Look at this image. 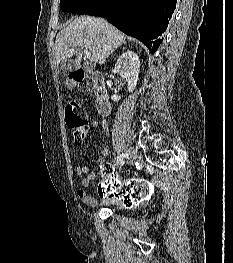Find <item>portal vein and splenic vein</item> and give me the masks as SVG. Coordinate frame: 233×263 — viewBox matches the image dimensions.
Wrapping results in <instances>:
<instances>
[{"mask_svg": "<svg viewBox=\"0 0 233 263\" xmlns=\"http://www.w3.org/2000/svg\"><path fill=\"white\" fill-rule=\"evenodd\" d=\"M74 51H75V48H72L71 49V53H74ZM84 55H85L86 59H89L92 62H96L97 61V57L91 55V53H89L86 49H84Z\"/></svg>", "mask_w": 233, "mask_h": 263, "instance_id": "obj_1", "label": "portal vein and splenic vein"}]
</instances>
